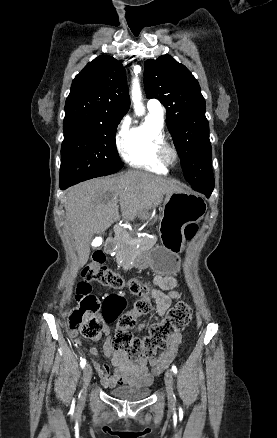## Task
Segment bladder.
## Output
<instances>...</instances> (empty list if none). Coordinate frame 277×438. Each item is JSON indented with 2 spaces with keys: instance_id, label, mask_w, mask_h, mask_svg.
Returning a JSON list of instances; mask_svg holds the SVG:
<instances>
[{
  "instance_id": "31cf9c89",
  "label": "bladder",
  "mask_w": 277,
  "mask_h": 438,
  "mask_svg": "<svg viewBox=\"0 0 277 438\" xmlns=\"http://www.w3.org/2000/svg\"><path fill=\"white\" fill-rule=\"evenodd\" d=\"M109 394L117 401L139 402L151 394L150 388L116 387L109 390Z\"/></svg>"
}]
</instances>
